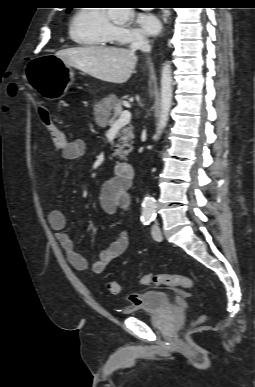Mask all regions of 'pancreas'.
Listing matches in <instances>:
<instances>
[{"label":"pancreas","instance_id":"cf45deb5","mask_svg":"<svg viewBox=\"0 0 255 387\" xmlns=\"http://www.w3.org/2000/svg\"><path fill=\"white\" fill-rule=\"evenodd\" d=\"M97 106H104L102 112L104 126L109 125L112 127L123 112L122 103L115 95H109L104 98ZM111 111H113V114H111ZM117 138L118 143L115 145L116 149H114L113 156L119 159H126V156L132 150L131 140L134 138L132 127L121 129L117 134Z\"/></svg>","mask_w":255,"mask_h":387}]
</instances>
